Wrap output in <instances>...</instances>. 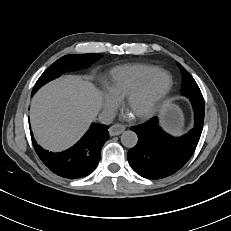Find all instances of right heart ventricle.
Masks as SVG:
<instances>
[{
	"label": "right heart ventricle",
	"instance_id": "right-heart-ventricle-1",
	"mask_svg": "<svg viewBox=\"0 0 231 231\" xmlns=\"http://www.w3.org/2000/svg\"><path fill=\"white\" fill-rule=\"evenodd\" d=\"M157 71V67L146 64L118 66L110 71L106 82L107 90L111 95L121 99Z\"/></svg>",
	"mask_w": 231,
	"mask_h": 231
}]
</instances>
